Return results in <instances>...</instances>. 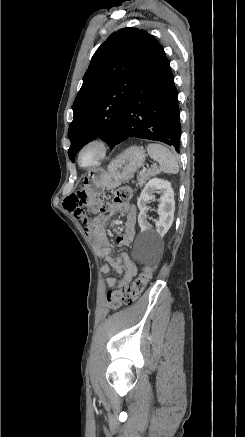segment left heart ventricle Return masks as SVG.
<instances>
[{
    "label": "left heart ventricle",
    "mask_w": 245,
    "mask_h": 437,
    "mask_svg": "<svg viewBox=\"0 0 245 437\" xmlns=\"http://www.w3.org/2000/svg\"><path fill=\"white\" fill-rule=\"evenodd\" d=\"M94 157H95V151L93 149H89L83 153L82 163L88 164L94 159Z\"/></svg>",
    "instance_id": "1"
}]
</instances>
